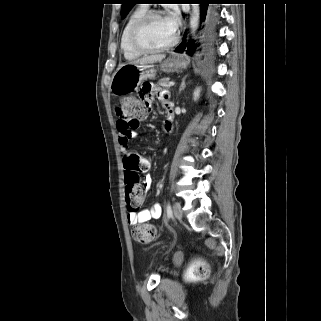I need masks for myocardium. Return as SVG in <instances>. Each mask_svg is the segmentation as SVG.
Segmentation results:
<instances>
[{
    "mask_svg": "<svg viewBox=\"0 0 321 321\" xmlns=\"http://www.w3.org/2000/svg\"><path fill=\"white\" fill-rule=\"evenodd\" d=\"M156 16H163V12L159 11V10L146 11L143 15H141L137 19V21L134 23V25L131 29L130 36H129L130 45L132 46V48L134 50H136L137 52H139L141 54H153V53H160V52L168 51V50L172 49L177 44V42L179 40V34L175 30L172 40L164 46L151 48V47H147L141 43L140 32H141L143 26L146 24V22L149 19H151L152 17H156Z\"/></svg>",
    "mask_w": 321,
    "mask_h": 321,
    "instance_id": "myocardium-1",
    "label": "myocardium"
}]
</instances>
